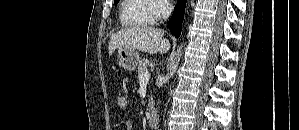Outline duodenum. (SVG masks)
<instances>
[{
  "instance_id": "duodenum-1",
  "label": "duodenum",
  "mask_w": 299,
  "mask_h": 130,
  "mask_svg": "<svg viewBox=\"0 0 299 130\" xmlns=\"http://www.w3.org/2000/svg\"><path fill=\"white\" fill-rule=\"evenodd\" d=\"M148 125L152 128L158 125V116L155 113H150L148 117Z\"/></svg>"
}]
</instances>
